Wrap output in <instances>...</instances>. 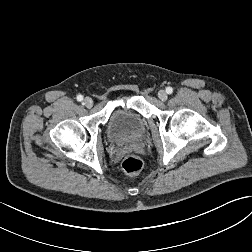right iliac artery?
Listing matches in <instances>:
<instances>
[{
	"label": "right iliac artery",
	"mask_w": 252,
	"mask_h": 252,
	"mask_svg": "<svg viewBox=\"0 0 252 252\" xmlns=\"http://www.w3.org/2000/svg\"><path fill=\"white\" fill-rule=\"evenodd\" d=\"M77 100L81 102L83 100V96L82 95H78L77 96Z\"/></svg>",
	"instance_id": "1"
}]
</instances>
